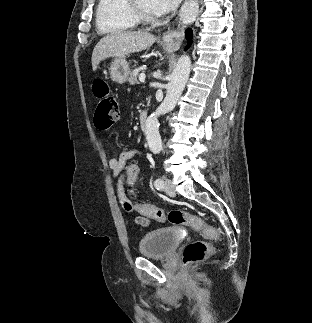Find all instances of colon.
<instances>
[{
    "instance_id": "1",
    "label": "colon",
    "mask_w": 312,
    "mask_h": 323,
    "mask_svg": "<svg viewBox=\"0 0 312 323\" xmlns=\"http://www.w3.org/2000/svg\"><path fill=\"white\" fill-rule=\"evenodd\" d=\"M93 82V92L99 97V102L94 114V123L99 131H105L119 119L120 106L116 98L110 93L109 86L102 78H96ZM126 173L129 175L128 182L130 184H133L135 179H138L139 177L138 168H134L132 164L127 166ZM122 205L127 211L132 210V203L129 200H124ZM135 207L137 213H156V218L158 220H165L164 213L161 212L160 206H151L150 202H137ZM168 215H170L169 223L173 225L186 224L196 232H201L210 238H216V232L213 229L208 228L200 217L191 214L189 211L172 209L168 212ZM213 251V247L204 241H195L188 244L184 249V263L182 264V267L187 269L189 264L203 261L208 255H211Z\"/></svg>"
}]
</instances>
